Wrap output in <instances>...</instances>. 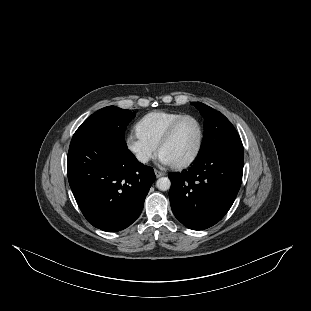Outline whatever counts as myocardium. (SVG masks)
<instances>
[{"label":"myocardium","instance_id":"1","mask_svg":"<svg viewBox=\"0 0 311 311\" xmlns=\"http://www.w3.org/2000/svg\"><path fill=\"white\" fill-rule=\"evenodd\" d=\"M188 118H194L198 121L200 128H201V137H200V142L197 148V151L195 152V154L193 155L192 158H190L189 160L180 163V164H176V165H172L174 168L176 169H184L187 167L192 166L194 163H196L198 161V159L200 158L204 146H205V142H206V136H207V129L205 126L204 121L195 114H185L184 116H182L181 118H179L171 127L170 129L167 131V133L163 136V138L161 139V141L159 142L158 146H157V152L158 155H161L162 150L172 142V140L174 139L179 127L181 126V124L187 120Z\"/></svg>","mask_w":311,"mask_h":311}]
</instances>
